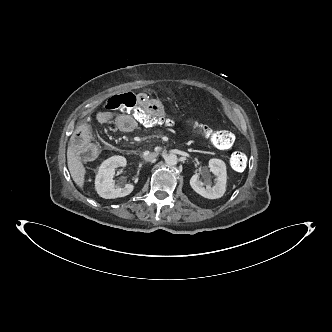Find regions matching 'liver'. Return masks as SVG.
<instances>
[{"label": "liver", "mask_w": 332, "mask_h": 332, "mask_svg": "<svg viewBox=\"0 0 332 332\" xmlns=\"http://www.w3.org/2000/svg\"><path fill=\"white\" fill-rule=\"evenodd\" d=\"M67 164L71 177L73 178L74 182L79 187H83L86 170L82 162L79 160L76 154V150L72 144L69 145L67 149Z\"/></svg>", "instance_id": "liver-1"}]
</instances>
